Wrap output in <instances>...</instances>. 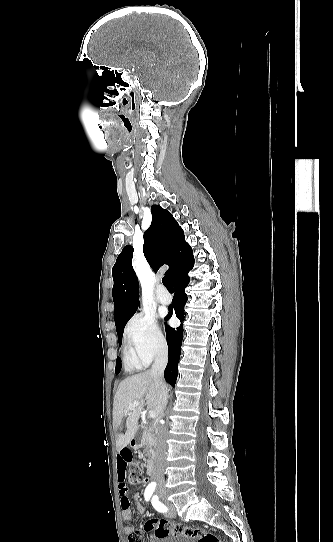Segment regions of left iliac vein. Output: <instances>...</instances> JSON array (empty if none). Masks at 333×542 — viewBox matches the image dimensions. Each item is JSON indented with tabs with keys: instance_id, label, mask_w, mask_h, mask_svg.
Masks as SVG:
<instances>
[{
	"instance_id": "4c4485c4",
	"label": "left iliac vein",
	"mask_w": 333,
	"mask_h": 542,
	"mask_svg": "<svg viewBox=\"0 0 333 542\" xmlns=\"http://www.w3.org/2000/svg\"><path fill=\"white\" fill-rule=\"evenodd\" d=\"M163 500L169 508L168 512L166 513V516L170 518L174 517L176 512H175V507L173 503L169 502L165 497L163 498Z\"/></svg>"
}]
</instances>
